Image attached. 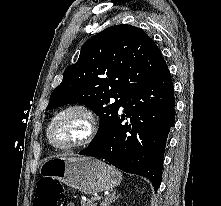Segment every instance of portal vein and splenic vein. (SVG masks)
<instances>
[{
    "mask_svg": "<svg viewBox=\"0 0 221 206\" xmlns=\"http://www.w3.org/2000/svg\"><path fill=\"white\" fill-rule=\"evenodd\" d=\"M101 199V197H97V198H95L94 200H100Z\"/></svg>",
    "mask_w": 221,
    "mask_h": 206,
    "instance_id": "1",
    "label": "portal vein and splenic vein"
}]
</instances>
